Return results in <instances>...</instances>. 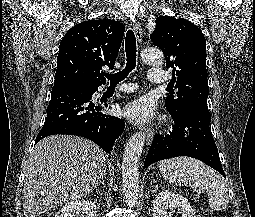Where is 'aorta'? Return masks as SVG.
<instances>
[{
	"mask_svg": "<svg viewBox=\"0 0 255 217\" xmlns=\"http://www.w3.org/2000/svg\"><path fill=\"white\" fill-rule=\"evenodd\" d=\"M142 60L151 65H160L164 61L160 50L148 48L141 51ZM145 144V134L137 132L126 143L122 161V187L125 203L129 207L136 205L139 195V159Z\"/></svg>",
	"mask_w": 255,
	"mask_h": 217,
	"instance_id": "obj_1",
	"label": "aorta"
}]
</instances>
